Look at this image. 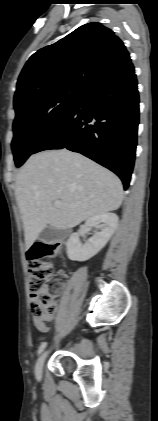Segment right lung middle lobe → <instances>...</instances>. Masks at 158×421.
I'll use <instances>...</instances> for the list:
<instances>
[{
    "label": "right lung middle lobe",
    "instance_id": "1",
    "mask_svg": "<svg viewBox=\"0 0 158 421\" xmlns=\"http://www.w3.org/2000/svg\"><path fill=\"white\" fill-rule=\"evenodd\" d=\"M84 86L48 89L14 104L12 151L16 167L33 154L36 147L63 120L79 99Z\"/></svg>",
    "mask_w": 158,
    "mask_h": 421
}]
</instances>
